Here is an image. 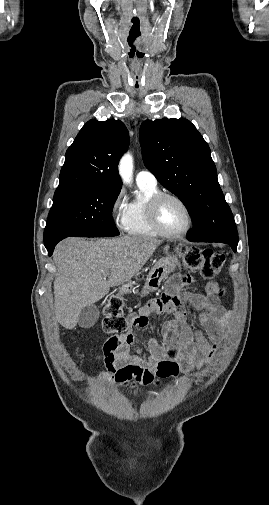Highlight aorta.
Masks as SVG:
<instances>
[{
	"label": "aorta",
	"mask_w": 269,
	"mask_h": 505,
	"mask_svg": "<svg viewBox=\"0 0 269 505\" xmlns=\"http://www.w3.org/2000/svg\"><path fill=\"white\" fill-rule=\"evenodd\" d=\"M119 173L124 183L130 184L132 182L133 174V159L130 154H126L120 161Z\"/></svg>",
	"instance_id": "aorta-1"
}]
</instances>
